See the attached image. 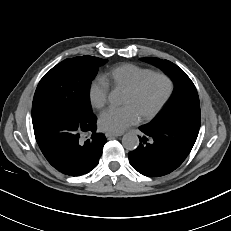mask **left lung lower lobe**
<instances>
[{"instance_id": "left-lung-lower-lobe-1", "label": "left lung lower lobe", "mask_w": 231, "mask_h": 231, "mask_svg": "<svg viewBox=\"0 0 231 231\" xmlns=\"http://www.w3.org/2000/svg\"><path fill=\"white\" fill-rule=\"evenodd\" d=\"M144 136L140 144L128 154L131 166L139 173L149 176H164L177 169L186 159L197 139L199 129L183 127L140 128Z\"/></svg>"}]
</instances>
